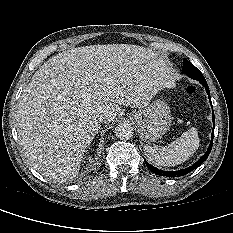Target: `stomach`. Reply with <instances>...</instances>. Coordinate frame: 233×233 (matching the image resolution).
<instances>
[{
    "label": "stomach",
    "instance_id": "obj_1",
    "mask_svg": "<svg viewBox=\"0 0 233 233\" xmlns=\"http://www.w3.org/2000/svg\"><path fill=\"white\" fill-rule=\"evenodd\" d=\"M130 119L138 125L145 141L154 142L169 130L172 117L169 106L158 99L133 112Z\"/></svg>",
    "mask_w": 233,
    "mask_h": 233
}]
</instances>
